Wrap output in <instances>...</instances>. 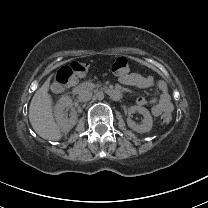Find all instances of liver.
<instances>
[{
    "mask_svg": "<svg viewBox=\"0 0 208 208\" xmlns=\"http://www.w3.org/2000/svg\"><path fill=\"white\" fill-rule=\"evenodd\" d=\"M54 74L55 72L51 73L34 94L29 106V121L42 139L59 141L62 134L54 120L53 98L49 94L50 82Z\"/></svg>",
    "mask_w": 208,
    "mask_h": 208,
    "instance_id": "liver-1",
    "label": "liver"
}]
</instances>
